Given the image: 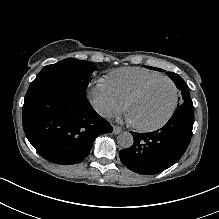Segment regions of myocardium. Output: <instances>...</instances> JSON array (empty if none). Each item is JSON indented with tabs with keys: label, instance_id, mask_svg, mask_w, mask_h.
<instances>
[{
	"label": "myocardium",
	"instance_id": "myocardium-1",
	"mask_svg": "<svg viewBox=\"0 0 219 219\" xmlns=\"http://www.w3.org/2000/svg\"><path fill=\"white\" fill-rule=\"evenodd\" d=\"M161 81H167L173 87V99H172L170 107L168 108L165 116L163 117V119L160 122H158L156 124H153V125H150V126H142V125H137L135 123H132V126L135 129L140 130V131H153V130H156V129H159V128L163 127L169 121V119L171 118V116H172V114H173V112L176 108L177 101H178V89H177L176 84L170 78L165 77V76L153 79V80L145 83L141 87H139L133 93H131L124 102V111L127 113L128 107H129L131 102H133L135 99L140 97L150 87H152L153 85H155L156 83L161 82Z\"/></svg>",
	"mask_w": 219,
	"mask_h": 219
}]
</instances>
